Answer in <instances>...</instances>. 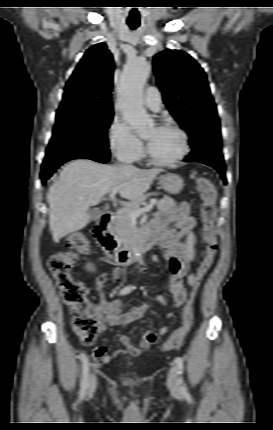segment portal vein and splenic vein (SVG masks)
<instances>
[{
    "instance_id": "portal-vein-and-splenic-vein-1",
    "label": "portal vein and splenic vein",
    "mask_w": 273,
    "mask_h": 430,
    "mask_svg": "<svg viewBox=\"0 0 273 430\" xmlns=\"http://www.w3.org/2000/svg\"><path fill=\"white\" fill-rule=\"evenodd\" d=\"M120 188L121 186L113 187L110 192V197L113 198L114 195L120 190ZM156 203H157V199L155 198L151 199L149 204L146 205L145 207L139 208L137 210H130L128 212L129 217L131 218V220H135L138 216H141L145 212H149L153 208L154 204Z\"/></svg>"
}]
</instances>
